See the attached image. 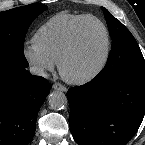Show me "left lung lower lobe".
I'll return each instance as SVG.
<instances>
[{
    "mask_svg": "<svg viewBox=\"0 0 145 145\" xmlns=\"http://www.w3.org/2000/svg\"><path fill=\"white\" fill-rule=\"evenodd\" d=\"M69 124L79 145H126L145 114V70L97 78L67 92Z\"/></svg>",
    "mask_w": 145,
    "mask_h": 145,
    "instance_id": "obj_1",
    "label": "left lung lower lobe"
}]
</instances>
